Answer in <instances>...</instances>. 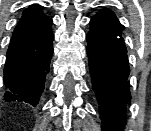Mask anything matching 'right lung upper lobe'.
I'll return each instance as SVG.
<instances>
[{
  "instance_id": "obj_1",
  "label": "right lung upper lobe",
  "mask_w": 151,
  "mask_h": 131,
  "mask_svg": "<svg viewBox=\"0 0 151 131\" xmlns=\"http://www.w3.org/2000/svg\"><path fill=\"white\" fill-rule=\"evenodd\" d=\"M52 20L34 4L23 12L7 51L5 84L12 83L36 70L51 53L54 35Z\"/></svg>"
}]
</instances>
